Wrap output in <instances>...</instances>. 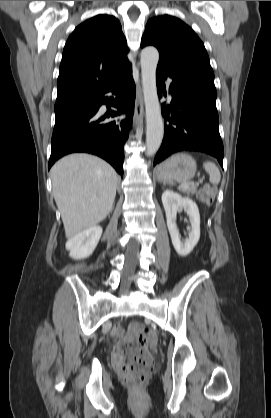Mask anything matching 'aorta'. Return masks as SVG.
<instances>
[{"instance_id":"1","label":"aorta","mask_w":271,"mask_h":418,"mask_svg":"<svg viewBox=\"0 0 271 418\" xmlns=\"http://www.w3.org/2000/svg\"><path fill=\"white\" fill-rule=\"evenodd\" d=\"M158 61L159 52L155 47H146L141 51L142 86L146 110V154L148 156L154 155L159 150L164 134L156 86Z\"/></svg>"}]
</instances>
